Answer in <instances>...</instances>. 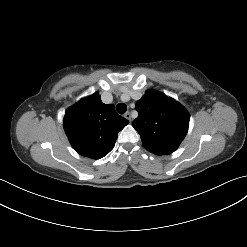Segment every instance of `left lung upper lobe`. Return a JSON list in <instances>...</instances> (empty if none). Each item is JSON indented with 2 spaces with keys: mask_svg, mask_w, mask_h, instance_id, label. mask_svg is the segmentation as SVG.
<instances>
[{
  "mask_svg": "<svg viewBox=\"0 0 247 247\" xmlns=\"http://www.w3.org/2000/svg\"><path fill=\"white\" fill-rule=\"evenodd\" d=\"M138 117L132 126L143 146L156 155L174 152L185 138L189 115L186 109L165 94L149 89L136 103Z\"/></svg>",
  "mask_w": 247,
  "mask_h": 247,
  "instance_id": "1",
  "label": "left lung upper lobe"
}]
</instances>
